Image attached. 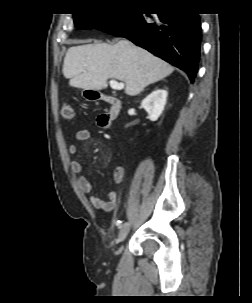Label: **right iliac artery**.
<instances>
[{
    "label": "right iliac artery",
    "instance_id": "obj_1",
    "mask_svg": "<svg viewBox=\"0 0 252 303\" xmlns=\"http://www.w3.org/2000/svg\"><path fill=\"white\" fill-rule=\"evenodd\" d=\"M120 223H121V221H120V220H117V221H116V224H118V225H119Z\"/></svg>",
    "mask_w": 252,
    "mask_h": 303
}]
</instances>
